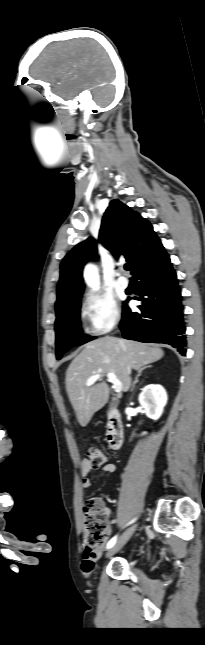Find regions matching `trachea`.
<instances>
[{
    "instance_id": "trachea-1",
    "label": "trachea",
    "mask_w": 205,
    "mask_h": 645,
    "mask_svg": "<svg viewBox=\"0 0 205 645\" xmlns=\"http://www.w3.org/2000/svg\"><path fill=\"white\" fill-rule=\"evenodd\" d=\"M124 268H125L126 271H129L130 270V264H125Z\"/></svg>"
}]
</instances>
